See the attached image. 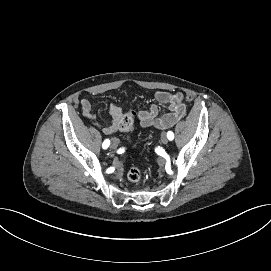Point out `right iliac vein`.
Returning <instances> with one entry per match:
<instances>
[{
  "label": "right iliac vein",
  "mask_w": 271,
  "mask_h": 271,
  "mask_svg": "<svg viewBox=\"0 0 271 271\" xmlns=\"http://www.w3.org/2000/svg\"><path fill=\"white\" fill-rule=\"evenodd\" d=\"M119 145V141L116 138L111 139V148L116 149Z\"/></svg>",
  "instance_id": "right-iliac-vein-1"
}]
</instances>
